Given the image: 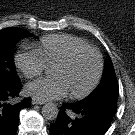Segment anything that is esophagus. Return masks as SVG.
Returning <instances> with one entry per match:
<instances>
[{
    "instance_id": "obj_1",
    "label": "esophagus",
    "mask_w": 135,
    "mask_h": 135,
    "mask_svg": "<svg viewBox=\"0 0 135 135\" xmlns=\"http://www.w3.org/2000/svg\"><path fill=\"white\" fill-rule=\"evenodd\" d=\"M32 104L33 105H43V104H45V102L40 101V100H38L36 98H32Z\"/></svg>"
}]
</instances>
